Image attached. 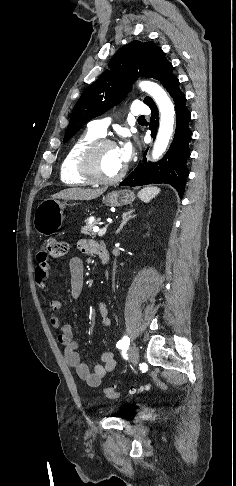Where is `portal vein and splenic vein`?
Returning a JSON list of instances; mask_svg holds the SVG:
<instances>
[{"label": "portal vein and splenic vein", "mask_w": 236, "mask_h": 486, "mask_svg": "<svg viewBox=\"0 0 236 486\" xmlns=\"http://www.w3.org/2000/svg\"><path fill=\"white\" fill-rule=\"evenodd\" d=\"M96 232H98V236H103L105 235L106 231H107V226L103 227L102 229H96L95 230Z\"/></svg>", "instance_id": "18ae733b"}]
</instances>
